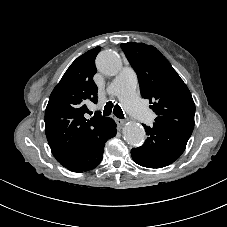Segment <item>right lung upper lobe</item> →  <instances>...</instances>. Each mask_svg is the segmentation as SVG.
<instances>
[{"instance_id": "1", "label": "right lung upper lobe", "mask_w": 227, "mask_h": 227, "mask_svg": "<svg viewBox=\"0 0 227 227\" xmlns=\"http://www.w3.org/2000/svg\"><path fill=\"white\" fill-rule=\"evenodd\" d=\"M97 46L79 56L67 69L52 91L45 111V133L52 154L60 161L84 148L102 128L107 118L95 114L85 118L89 110L87 100L97 103V86L93 76L97 72Z\"/></svg>"}]
</instances>
